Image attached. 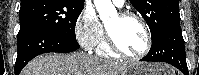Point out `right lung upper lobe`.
Returning <instances> with one entry per match:
<instances>
[{"label":"right lung upper lobe","mask_w":199,"mask_h":75,"mask_svg":"<svg viewBox=\"0 0 199 75\" xmlns=\"http://www.w3.org/2000/svg\"><path fill=\"white\" fill-rule=\"evenodd\" d=\"M32 1H39V0H21V3H27V2H32ZM68 2H72V3H84V0H65Z\"/></svg>","instance_id":"obj_1"}]
</instances>
